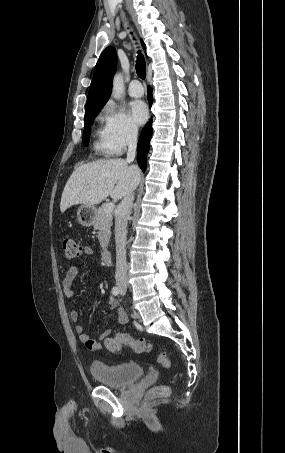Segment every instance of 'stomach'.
I'll list each match as a JSON object with an SVG mask.
<instances>
[{"instance_id": "1", "label": "stomach", "mask_w": 285, "mask_h": 453, "mask_svg": "<svg viewBox=\"0 0 285 453\" xmlns=\"http://www.w3.org/2000/svg\"><path fill=\"white\" fill-rule=\"evenodd\" d=\"M96 208L94 206L81 205L77 211L78 222L85 227L94 224Z\"/></svg>"}]
</instances>
